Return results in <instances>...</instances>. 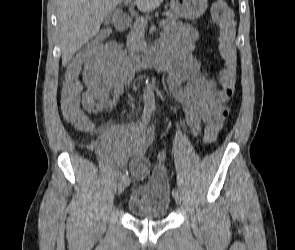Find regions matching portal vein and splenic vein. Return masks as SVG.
Segmentation results:
<instances>
[{
	"mask_svg": "<svg viewBox=\"0 0 295 250\" xmlns=\"http://www.w3.org/2000/svg\"><path fill=\"white\" fill-rule=\"evenodd\" d=\"M124 2H125V4H131V0H124ZM139 23H140L141 26H144V27L147 26V21L144 20L143 18H141L139 20ZM158 24H159V26H164L165 25V21L164 20H161V21L158 22Z\"/></svg>",
	"mask_w": 295,
	"mask_h": 250,
	"instance_id": "portal-vein-and-splenic-vein-1",
	"label": "portal vein and splenic vein"
}]
</instances>
